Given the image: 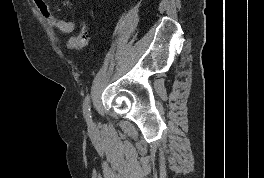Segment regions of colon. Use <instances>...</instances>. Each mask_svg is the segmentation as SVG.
Wrapping results in <instances>:
<instances>
[{"label":"colon","mask_w":264,"mask_h":178,"mask_svg":"<svg viewBox=\"0 0 264 178\" xmlns=\"http://www.w3.org/2000/svg\"><path fill=\"white\" fill-rule=\"evenodd\" d=\"M89 43V29L86 22H83L77 35L70 38L68 46L77 50H84Z\"/></svg>","instance_id":"colon-1"}]
</instances>
